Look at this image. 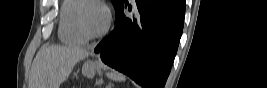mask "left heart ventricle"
Returning a JSON list of instances; mask_svg holds the SVG:
<instances>
[{"mask_svg": "<svg viewBox=\"0 0 267 88\" xmlns=\"http://www.w3.org/2000/svg\"><path fill=\"white\" fill-rule=\"evenodd\" d=\"M82 19L86 29L89 32L96 33L103 28L106 22V14L101 7L90 3L83 8Z\"/></svg>", "mask_w": 267, "mask_h": 88, "instance_id": "left-heart-ventricle-1", "label": "left heart ventricle"}]
</instances>
